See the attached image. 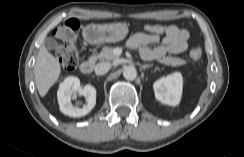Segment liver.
<instances>
[{
    "label": "liver",
    "mask_w": 244,
    "mask_h": 157,
    "mask_svg": "<svg viewBox=\"0 0 244 157\" xmlns=\"http://www.w3.org/2000/svg\"><path fill=\"white\" fill-rule=\"evenodd\" d=\"M61 73L60 63L43 45L39 49L34 66L35 83L41 97H45L49 89L58 80Z\"/></svg>",
    "instance_id": "liver-1"
}]
</instances>
